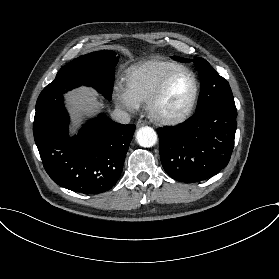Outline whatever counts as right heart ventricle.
Returning a JSON list of instances; mask_svg holds the SVG:
<instances>
[{"label":"right heart ventricle","mask_w":279,"mask_h":279,"mask_svg":"<svg viewBox=\"0 0 279 279\" xmlns=\"http://www.w3.org/2000/svg\"><path fill=\"white\" fill-rule=\"evenodd\" d=\"M186 68L172 60H148L132 66L126 76V87L143 101H148L162 80Z\"/></svg>","instance_id":"1"}]
</instances>
